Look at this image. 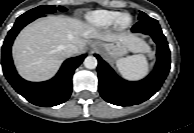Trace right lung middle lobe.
<instances>
[{"label":"right lung middle lobe","mask_w":194,"mask_h":133,"mask_svg":"<svg viewBox=\"0 0 194 133\" xmlns=\"http://www.w3.org/2000/svg\"><path fill=\"white\" fill-rule=\"evenodd\" d=\"M58 9L60 11H66V8L62 6H59ZM55 11H56V6L54 5H42L27 11L21 16L27 17V18H38V17L44 16V14L54 13Z\"/></svg>","instance_id":"obj_1"}]
</instances>
